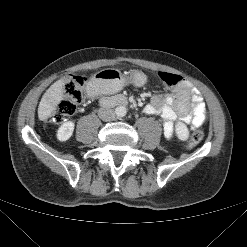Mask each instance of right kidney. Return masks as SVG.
Wrapping results in <instances>:
<instances>
[{"mask_svg": "<svg viewBox=\"0 0 247 247\" xmlns=\"http://www.w3.org/2000/svg\"><path fill=\"white\" fill-rule=\"evenodd\" d=\"M75 124L72 121L63 123L57 131L59 141H67L73 134Z\"/></svg>", "mask_w": 247, "mask_h": 247, "instance_id": "obj_1", "label": "right kidney"}]
</instances>
